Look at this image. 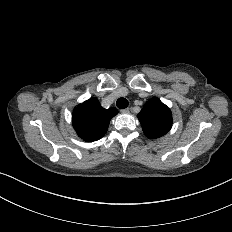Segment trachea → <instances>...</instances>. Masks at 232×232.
I'll list each match as a JSON object with an SVG mask.
<instances>
[{
	"label": "trachea",
	"instance_id": "trachea-1",
	"mask_svg": "<svg viewBox=\"0 0 232 232\" xmlns=\"http://www.w3.org/2000/svg\"><path fill=\"white\" fill-rule=\"evenodd\" d=\"M116 105L120 109H125L128 107V100L126 98H119L116 102Z\"/></svg>",
	"mask_w": 232,
	"mask_h": 232
}]
</instances>
